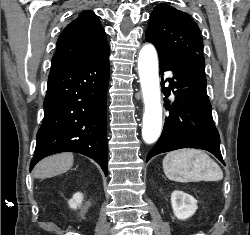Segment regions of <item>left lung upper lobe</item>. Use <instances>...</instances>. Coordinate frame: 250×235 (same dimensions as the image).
Wrapping results in <instances>:
<instances>
[{"label":"left lung upper lobe","instance_id":"1","mask_svg":"<svg viewBox=\"0 0 250 235\" xmlns=\"http://www.w3.org/2000/svg\"><path fill=\"white\" fill-rule=\"evenodd\" d=\"M145 39L155 45L158 55L182 57L196 53L203 58V40L198 25L189 14L167 4H159L153 9Z\"/></svg>","mask_w":250,"mask_h":235}]
</instances>
